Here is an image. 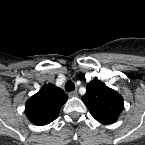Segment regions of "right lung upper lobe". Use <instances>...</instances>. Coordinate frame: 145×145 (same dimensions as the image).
<instances>
[{
	"label": "right lung upper lobe",
	"instance_id": "1",
	"mask_svg": "<svg viewBox=\"0 0 145 145\" xmlns=\"http://www.w3.org/2000/svg\"><path fill=\"white\" fill-rule=\"evenodd\" d=\"M68 97L64 91L52 84H45L38 93L26 102L25 114L37 126L49 124L59 114Z\"/></svg>",
	"mask_w": 145,
	"mask_h": 145
}]
</instances>
